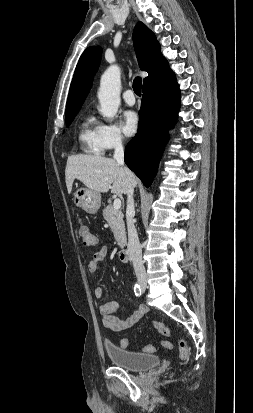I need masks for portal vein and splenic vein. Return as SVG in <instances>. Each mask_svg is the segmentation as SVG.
<instances>
[{
    "label": "portal vein and splenic vein",
    "instance_id": "1",
    "mask_svg": "<svg viewBox=\"0 0 253 413\" xmlns=\"http://www.w3.org/2000/svg\"><path fill=\"white\" fill-rule=\"evenodd\" d=\"M113 208L115 210H119L121 208V200L120 199H115L113 203Z\"/></svg>",
    "mask_w": 253,
    "mask_h": 413
}]
</instances>
